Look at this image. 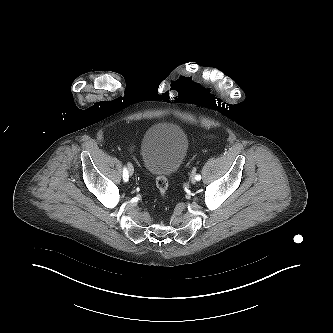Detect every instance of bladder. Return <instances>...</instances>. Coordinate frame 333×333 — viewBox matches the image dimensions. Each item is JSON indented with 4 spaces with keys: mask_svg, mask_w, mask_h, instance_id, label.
<instances>
[{
    "mask_svg": "<svg viewBox=\"0 0 333 333\" xmlns=\"http://www.w3.org/2000/svg\"><path fill=\"white\" fill-rule=\"evenodd\" d=\"M188 150L183 129L173 123H156L144 133L140 156L144 169L154 176H171L182 165Z\"/></svg>",
    "mask_w": 333,
    "mask_h": 333,
    "instance_id": "1",
    "label": "bladder"
}]
</instances>
